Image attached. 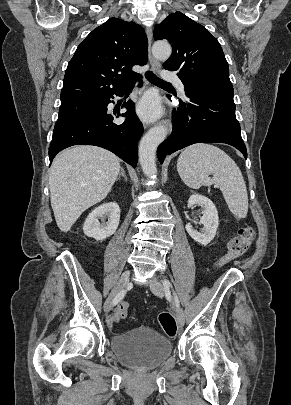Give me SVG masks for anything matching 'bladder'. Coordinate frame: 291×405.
<instances>
[{
    "mask_svg": "<svg viewBox=\"0 0 291 405\" xmlns=\"http://www.w3.org/2000/svg\"><path fill=\"white\" fill-rule=\"evenodd\" d=\"M111 350L127 366L152 369L170 357L173 345L155 329L140 326L115 335L111 340Z\"/></svg>",
    "mask_w": 291,
    "mask_h": 405,
    "instance_id": "bladder-1",
    "label": "bladder"
}]
</instances>
